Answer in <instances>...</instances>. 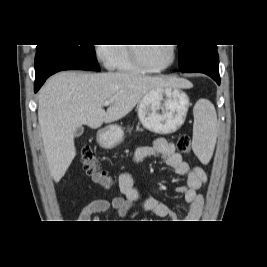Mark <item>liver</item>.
Wrapping results in <instances>:
<instances>
[{
    "label": "liver",
    "mask_w": 267,
    "mask_h": 267,
    "mask_svg": "<svg viewBox=\"0 0 267 267\" xmlns=\"http://www.w3.org/2000/svg\"><path fill=\"white\" fill-rule=\"evenodd\" d=\"M162 87L192 88L189 81L135 73L60 72L41 88L38 121L53 180L65 175L76 156L75 131L81 125L92 129L115 122L133 110L150 90ZM105 101H111L107 111Z\"/></svg>",
    "instance_id": "obj_1"
}]
</instances>
